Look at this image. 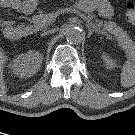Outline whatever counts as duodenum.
Returning <instances> with one entry per match:
<instances>
[{
    "mask_svg": "<svg viewBox=\"0 0 135 135\" xmlns=\"http://www.w3.org/2000/svg\"><path fill=\"white\" fill-rule=\"evenodd\" d=\"M31 30V26L29 25H22V26H14V25H7L5 29V35L12 39L18 40L25 37Z\"/></svg>",
    "mask_w": 135,
    "mask_h": 135,
    "instance_id": "410a0bca",
    "label": "duodenum"
}]
</instances>
